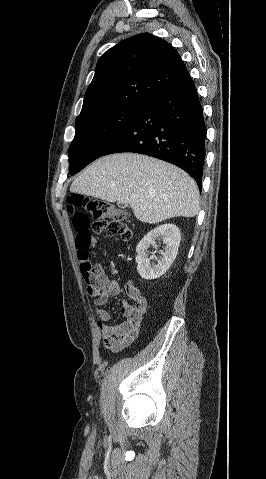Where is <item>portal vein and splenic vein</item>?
Here are the masks:
<instances>
[{
    "label": "portal vein and splenic vein",
    "instance_id": "portal-vein-and-splenic-vein-1",
    "mask_svg": "<svg viewBox=\"0 0 266 479\" xmlns=\"http://www.w3.org/2000/svg\"><path fill=\"white\" fill-rule=\"evenodd\" d=\"M132 197H133V198H135V197H136V195H132Z\"/></svg>",
    "mask_w": 266,
    "mask_h": 479
}]
</instances>
